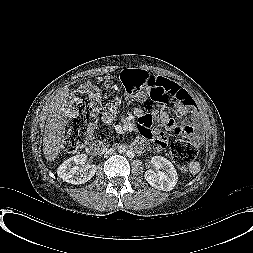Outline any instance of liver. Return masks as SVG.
<instances>
[{
	"label": "liver",
	"mask_w": 253,
	"mask_h": 253,
	"mask_svg": "<svg viewBox=\"0 0 253 253\" xmlns=\"http://www.w3.org/2000/svg\"><path fill=\"white\" fill-rule=\"evenodd\" d=\"M69 89L60 90L51 103L50 113L45 125L43 152L47 161H54L62 149V135L67 123V98Z\"/></svg>",
	"instance_id": "1"
}]
</instances>
